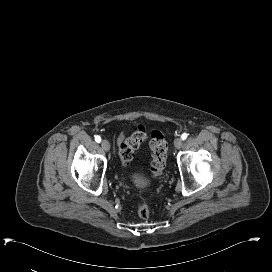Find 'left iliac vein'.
<instances>
[{
	"instance_id": "1",
	"label": "left iliac vein",
	"mask_w": 272,
	"mask_h": 272,
	"mask_svg": "<svg viewBox=\"0 0 272 272\" xmlns=\"http://www.w3.org/2000/svg\"><path fill=\"white\" fill-rule=\"evenodd\" d=\"M174 146H175L176 149H180L181 146H182V139L181 138L175 139Z\"/></svg>"
}]
</instances>
